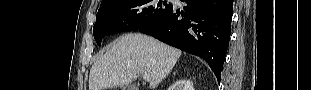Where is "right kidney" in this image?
I'll use <instances>...</instances> for the list:
<instances>
[{"mask_svg":"<svg viewBox=\"0 0 311 90\" xmlns=\"http://www.w3.org/2000/svg\"><path fill=\"white\" fill-rule=\"evenodd\" d=\"M177 89H183V90H194L193 84L190 80H181L176 83Z\"/></svg>","mask_w":311,"mask_h":90,"instance_id":"1","label":"right kidney"}]
</instances>
